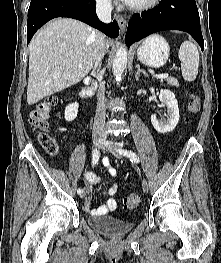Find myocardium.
<instances>
[{
    "label": "myocardium",
    "mask_w": 221,
    "mask_h": 263,
    "mask_svg": "<svg viewBox=\"0 0 221 263\" xmlns=\"http://www.w3.org/2000/svg\"><path fill=\"white\" fill-rule=\"evenodd\" d=\"M159 2L160 0H146L141 3H132L129 5V8L136 12H144L156 7Z\"/></svg>",
    "instance_id": "1"
}]
</instances>
